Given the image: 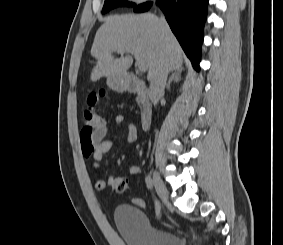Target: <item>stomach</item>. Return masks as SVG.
<instances>
[{
  "instance_id": "1",
  "label": "stomach",
  "mask_w": 283,
  "mask_h": 245,
  "mask_svg": "<svg viewBox=\"0 0 283 245\" xmlns=\"http://www.w3.org/2000/svg\"><path fill=\"white\" fill-rule=\"evenodd\" d=\"M108 84L111 86V87H120L123 85V81L121 78L119 77H109L108 79Z\"/></svg>"
}]
</instances>
